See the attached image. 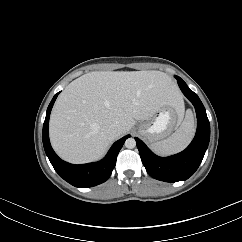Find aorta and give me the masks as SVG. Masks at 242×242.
Here are the masks:
<instances>
[{
	"label": "aorta",
	"instance_id": "aorta-1",
	"mask_svg": "<svg viewBox=\"0 0 242 242\" xmlns=\"http://www.w3.org/2000/svg\"><path fill=\"white\" fill-rule=\"evenodd\" d=\"M136 146V141L134 138H128L126 141H125V147L128 148V149H133L135 148Z\"/></svg>",
	"mask_w": 242,
	"mask_h": 242
}]
</instances>
